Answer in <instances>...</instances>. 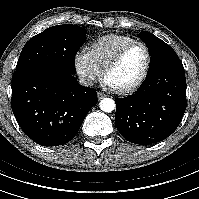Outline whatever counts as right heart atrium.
Masks as SVG:
<instances>
[{"label": "right heart atrium", "instance_id": "d8ad5b80", "mask_svg": "<svg viewBox=\"0 0 199 199\" xmlns=\"http://www.w3.org/2000/svg\"><path fill=\"white\" fill-rule=\"evenodd\" d=\"M74 66L83 82L87 85H92L102 74V70L96 66L89 52L85 49L76 53Z\"/></svg>", "mask_w": 199, "mask_h": 199}]
</instances>
